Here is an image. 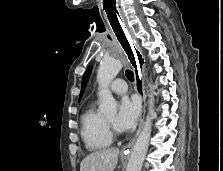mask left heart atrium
Returning <instances> with one entry per match:
<instances>
[{
  "mask_svg": "<svg viewBox=\"0 0 223 171\" xmlns=\"http://www.w3.org/2000/svg\"><path fill=\"white\" fill-rule=\"evenodd\" d=\"M140 105L136 99L124 97L119 105L118 115L114 126L119 131L132 130L138 121Z\"/></svg>",
  "mask_w": 223,
  "mask_h": 171,
  "instance_id": "left-heart-atrium-1",
  "label": "left heart atrium"
}]
</instances>
